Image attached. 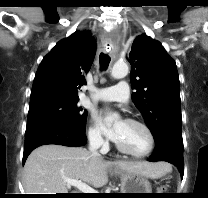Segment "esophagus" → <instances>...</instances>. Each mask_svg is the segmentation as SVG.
Segmentation results:
<instances>
[{
	"label": "esophagus",
	"instance_id": "obj_1",
	"mask_svg": "<svg viewBox=\"0 0 208 198\" xmlns=\"http://www.w3.org/2000/svg\"><path fill=\"white\" fill-rule=\"evenodd\" d=\"M105 49H106V51H109V49H111V45H106Z\"/></svg>",
	"mask_w": 208,
	"mask_h": 198
}]
</instances>
